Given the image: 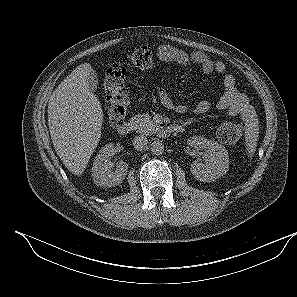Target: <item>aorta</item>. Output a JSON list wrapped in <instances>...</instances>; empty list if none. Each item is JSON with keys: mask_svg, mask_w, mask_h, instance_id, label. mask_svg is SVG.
Segmentation results:
<instances>
[{"mask_svg": "<svg viewBox=\"0 0 297 297\" xmlns=\"http://www.w3.org/2000/svg\"><path fill=\"white\" fill-rule=\"evenodd\" d=\"M152 154L161 155L164 152V144L160 140H155L150 145Z\"/></svg>", "mask_w": 297, "mask_h": 297, "instance_id": "aorta-1", "label": "aorta"}]
</instances>
